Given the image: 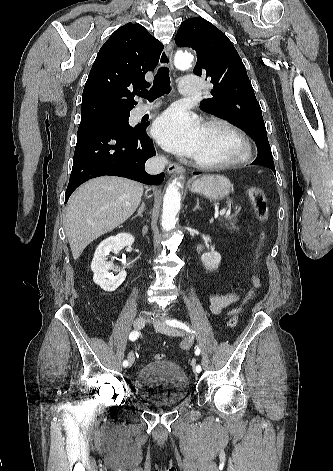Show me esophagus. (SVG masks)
I'll return each mask as SVG.
<instances>
[{"label":"esophagus","instance_id":"34e87169","mask_svg":"<svg viewBox=\"0 0 333 471\" xmlns=\"http://www.w3.org/2000/svg\"><path fill=\"white\" fill-rule=\"evenodd\" d=\"M173 52H174V43H170L164 48L160 55L159 64L162 67H169L173 69ZM184 171L183 167L177 163H169L167 166V172L169 174L173 173H182Z\"/></svg>","mask_w":333,"mask_h":471}]
</instances>
